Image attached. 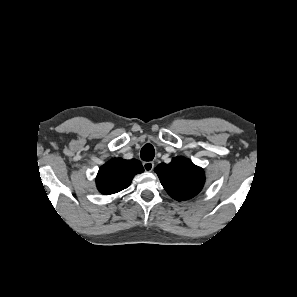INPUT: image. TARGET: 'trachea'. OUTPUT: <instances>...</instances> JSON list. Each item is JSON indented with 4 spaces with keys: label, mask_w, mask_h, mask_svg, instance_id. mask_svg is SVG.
<instances>
[{
    "label": "trachea",
    "mask_w": 297,
    "mask_h": 297,
    "mask_svg": "<svg viewBox=\"0 0 297 297\" xmlns=\"http://www.w3.org/2000/svg\"><path fill=\"white\" fill-rule=\"evenodd\" d=\"M141 159L144 161H152L155 156V149L151 144H145L141 149Z\"/></svg>",
    "instance_id": "3493384b"
}]
</instances>
